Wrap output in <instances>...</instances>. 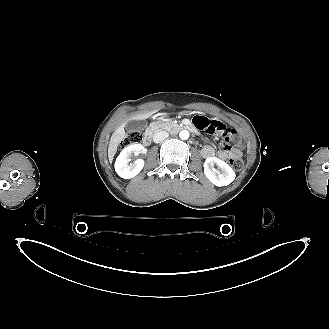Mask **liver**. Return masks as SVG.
I'll use <instances>...</instances> for the list:
<instances>
[{"label":"liver","mask_w":329,"mask_h":329,"mask_svg":"<svg viewBox=\"0 0 329 329\" xmlns=\"http://www.w3.org/2000/svg\"><path fill=\"white\" fill-rule=\"evenodd\" d=\"M158 111H159V109H155V110H152V111H149L146 113H140V114H137V115L133 116L132 118H130V120H146ZM125 125H126V123H123L122 125H120L111 136L109 147H108V158H109L110 163L113 161L114 155L117 152L118 145L126 137V133L124 130Z\"/></svg>","instance_id":"liver-1"}]
</instances>
